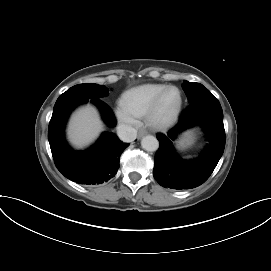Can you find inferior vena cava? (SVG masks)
<instances>
[{
  "instance_id": "obj_1",
  "label": "inferior vena cava",
  "mask_w": 271,
  "mask_h": 271,
  "mask_svg": "<svg viewBox=\"0 0 271 271\" xmlns=\"http://www.w3.org/2000/svg\"><path fill=\"white\" fill-rule=\"evenodd\" d=\"M117 134L121 141L132 142L136 139L137 130L128 125H120L117 127Z\"/></svg>"
}]
</instances>
